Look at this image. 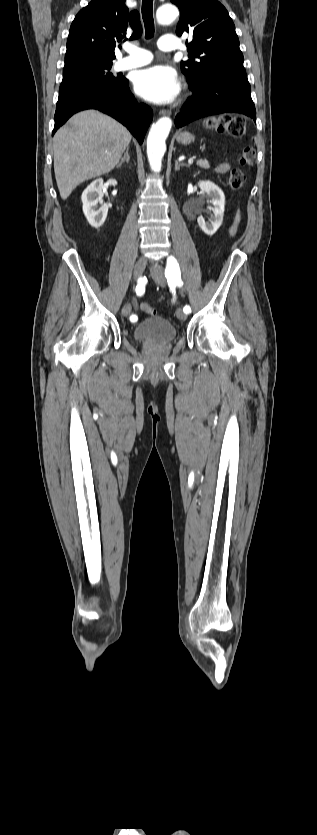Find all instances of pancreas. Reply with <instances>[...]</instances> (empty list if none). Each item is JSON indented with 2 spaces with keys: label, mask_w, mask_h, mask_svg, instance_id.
Here are the masks:
<instances>
[{
  "label": "pancreas",
  "mask_w": 317,
  "mask_h": 835,
  "mask_svg": "<svg viewBox=\"0 0 317 835\" xmlns=\"http://www.w3.org/2000/svg\"><path fill=\"white\" fill-rule=\"evenodd\" d=\"M196 164H197L199 167H201V168H205V169H209V168H210V166H209V164H208V162H207V160H206V159H199V160H197Z\"/></svg>",
  "instance_id": "1"
}]
</instances>
